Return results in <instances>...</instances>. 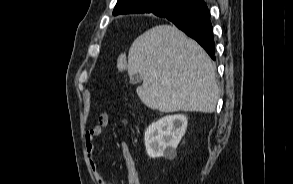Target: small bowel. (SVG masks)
I'll return each mask as SVG.
<instances>
[{
    "label": "small bowel",
    "instance_id": "small-bowel-1",
    "mask_svg": "<svg viewBox=\"0 0 293 184\" xmlns=\"http://www.w3.org/2000/svg\"><path fill=\"white\" fill-rule=\"evenodd\" d=\"M110 121L107 113H101L98 117L97 124L89 129L85 134L86 153L89 160V165L93 173L94 179L97 184H112L107 180L100 172V167L97 160L94 158L95 152V139L102 133V131L108 126ZM122 155L127 168V183L128 184H141L139 174L137 171L134 158L127 147L122 148Z\"/></svg>",
    "mask_w": 293,
    "mask_h": 184
}]
</instances>
